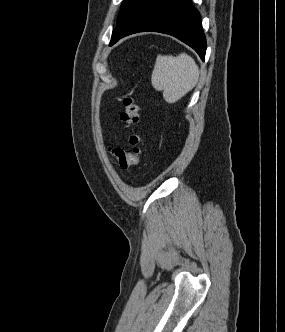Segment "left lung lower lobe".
<instances>
[{
	"mask_svg": "<svg viewBox=\"0 0 285 332\" xmlns=\"http://www.w3.org/2000/svg\"><path fill=\"white\" fill-rule=\"evenodd\" d=\"M143 31L172 35L192 47L204 61L206 38L199 12L191 0H152L110 45L120 38Z\"/></svg>",
	"mask_w": 285,
	"mask_h": 332,
	"instance_id": "left-lung-lower-lobe-1",
	"label": "left lung lower lobe"
}]
</instances>
